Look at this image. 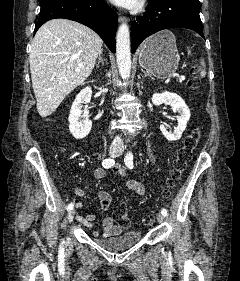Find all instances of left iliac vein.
<instances>
[{
    "instance_id": "left-iliac-vein-1",
    "label": "left iliac vein",
    "mask_w": 240,
    "mask_h": 281,
    "mask_svg": "<svg viewBox=\"0 0 240 281\" xmlns=\"http://www.w3.org/2000/svg\"><path fill=\"white\" fill-rule=\"evenodd\" d=\"M122 152H123V149H120L119 152L117 153V156H119L120 154H122ZM157 221H158L159 223H162V222L164 221V216H163L161 213H159V214L157 215Z\"/></svg>"
}]
</instances>
